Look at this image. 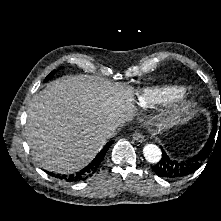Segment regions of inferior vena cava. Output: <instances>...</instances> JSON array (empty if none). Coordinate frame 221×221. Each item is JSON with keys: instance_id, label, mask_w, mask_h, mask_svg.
Masks as SVG:
<instances>
[{"instance_id": "1", "label": "inferior vena cava", "mask_w": 221, "mask_h": 221, "mask_svg": "<svg viewBox=\"0 0 221 221\" xmlns=\"http://www.w3.org/2000/svg\"><path fill=\"white\" fill-rule=\"evenodd\" d=\"M115 134H116V128L115 127H110V128H108L104 131V137L106 139L112 138L113 136H115Z\"/></svg>"}]
</instances>
